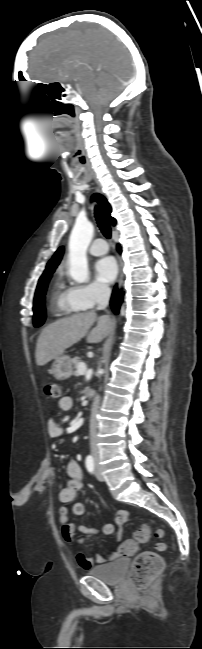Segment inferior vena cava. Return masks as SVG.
Listing matches in <instances>:
<instances>
[{
    "label": "inferior vena cava",
    "mask_w": 202,
    "mask_h": 649,
    "mask_svg": "<svg viewBox=\"0 0 202 649\" xmlns=\"http://www.w3.org/2000/svg\"><path fill=\"white\" fill-rule=\"evenodd\" d=\"M111 295V289L108 285L99 284L97 285V310H103L108 306L109 299ZM99 404V398L97 397L93 404V419L90 425V450L93 456H97L98 447H97V422L94 417Z\"/></svg>",
    "instance_id": "inferior-vena-cava-1"
}]
</instances>
